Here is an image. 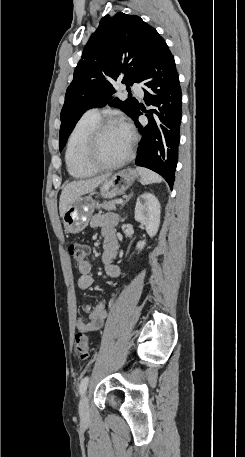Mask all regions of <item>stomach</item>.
<instances>
[{"instance_id": "0dacf381", "label": "stomach", "mask_w": 245, "mask_h": 457, "mask_svg": "<svg viewBox=\"0 0 245 457\" xmlns=\"http://www.w3.org/2000/svg\"><path fill=\"white\" fill-rule=\"evenodd\" d=\"M139 176L135 168H123L118 170L115 174H111L107 180H104L100 186V194L104 198H114L117 194H123L124 190H127L131 184H133L135 178ZM87 194V192H86ZM95 208V200H93L91 194L85 196L81 194L78 198L73 200L72 204H69L64 212L63 224L65 233H81L85 226H87Z\"/></svg>"}]
</instances>
